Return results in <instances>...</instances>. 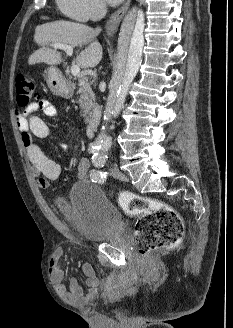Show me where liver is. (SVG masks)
<instances>
[{
	"mask_svg": "<svg viewBox=\"0 0 233 328\" xmlns=\"http://www.w3.org/2000/svg\"><path fill=\"white\" fill-rule=\"evenodd\" d=\"M98 34L99 31L87 25L64 20L37 26L34 41L41 48L29 56L28 64L58 65L63 62L62 53L53 46L56 43L73 48L88 44L77 56L76 63L82 68H93L101 61L103 55L102 46L94 40Z\"/></svg>",
	"mask_w": 233,
	"mask_h": 328,
	"instance_id": "obj_1",
	"label": "liver"
}]
</instances>
